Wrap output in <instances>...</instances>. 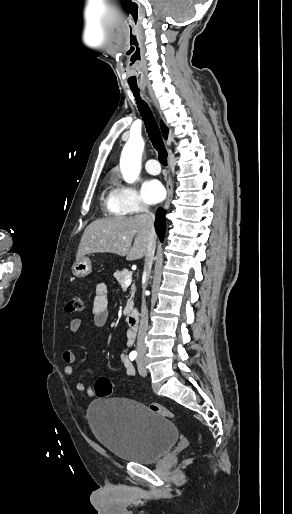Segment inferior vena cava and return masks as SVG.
<instances>
[{"instance_id": "inferior-vena-cava-1", "label": "inferior vena cava", "mask_w": 292, "mask_h": 514, "mask_svg": "<svg viewBox=\"0 0 292 514\" xmlns=\"http://www.w3.org/2000/svg\"><path fill=\"white\" fill-rule=\"evenodd\" d=\"M146 212V232L148 238V248L145 256V264H144V274L149 276L153 264V258L155 254V244H156V234L154 230V220L155 214L149 212V210H144ZM145 290L146 284L143 286V296H142V308H141V320L140 326L138 330V338H137V354L141 356V354H145V336L148 330V310L145 302Z\"/></svg>"}]
</instances>
